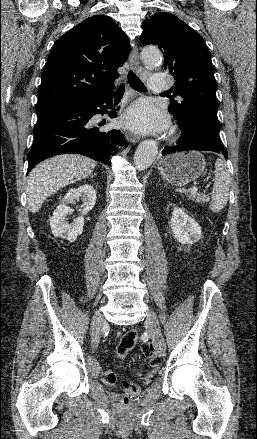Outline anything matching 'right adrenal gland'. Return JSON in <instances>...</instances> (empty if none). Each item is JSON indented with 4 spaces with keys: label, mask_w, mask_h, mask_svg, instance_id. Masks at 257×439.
<instances>
[{
    "label": "right adrenal gland",
    "mask_w": 257,
    "mask_h": 439,
    "mask_svg": "<svg viewBox=\"0 0 257 439\" xmlns=\"http://www.w3.org/2000/svg\"><path fill=\"white\" fill-rule=\"evenodd\" d=\"M94 175H96V174H94ZM93 177H94L93 175L90 176V178H93Z\"/></svg>",
    "instance_id": "1"
}]
</instances>
